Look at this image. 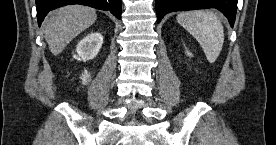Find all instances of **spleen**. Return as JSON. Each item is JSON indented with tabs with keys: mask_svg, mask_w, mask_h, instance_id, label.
<instances>
[{
	"mask_svg": "<svg viewBox=\"0 0 276 145\" xmlns=\"http://www.w3.org/2000/svg\"><path fill=\"white\" fill-rule=\"evenodd\" d=\"M177 21L196 38L207 60L214 63L224 43V29L219 18L213 12L195 10L180 13Z\"/></svg>",
	"mask_w": 276,
	"mask_h": 145,
	"instance_id": "3e777b00",
	"label": "spleen"
}]
</instances>
